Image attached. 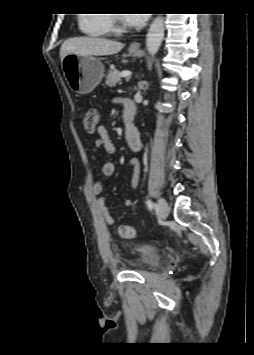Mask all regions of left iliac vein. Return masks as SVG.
Here are the masks:
<instances>
[{"label": "left iliac vein", "instance_id": "obj_1", "mask_svg": "<svg viewBox=\"0 0 254 355\" xmlns=\"http://www.w3.org/2000/svg\"><path fill=\"white\" fill-rule=\"evenodd\" d=\"M157 211L162 219L167 218L169 215V205L164 198H160L157 204Z\"/></svg>", "mask_w": 254, "mask_h": 355}]
</instances>
